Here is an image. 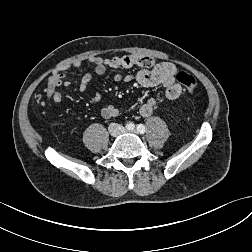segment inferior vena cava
<instances>
[{
	"instance_id": "obj_1",
	"label": "inferior vena cava",
	"mask_w": 252,
	"mask_h": 252,
	"mask_svg": "<svg viewBox=\"0 0 252 252\" xmlns=\"http://www.w3.org/2000/svg\"><path fill=\"white\" fill-rule=\"evenodd\" d=\"M109 132L113 135V136H117L119 134H121L124 131V128L116 123L110 124L109 126Z\"/></svg>"
}]
</instances>
